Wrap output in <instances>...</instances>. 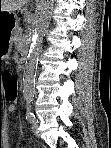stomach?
<instances>
[{
    "mask_svg": "<svg viewBox=\"0 0 111 148\" xmlns=\"http://www.w3.org/2000/svg\"><path fill=\"white\" fill-rule=\"evenodd\" d=\"M19 19L12 12H0V59H7L13 45V35L18 28Z\"/></svg>",
    "mask_w": 111,
    "mask_h": 148,
    "instance_id": "obj_1",
    "label": "stomach"
}]
</instances>
